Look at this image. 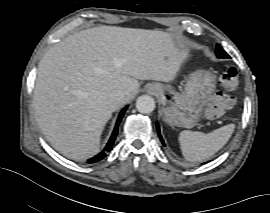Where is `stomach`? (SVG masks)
I'll use <instances>...</instances> for the list:
<instances>
[{
    "mask_svg": "<svg viewBox=\"0 0 270 213\" xmlns=\"http://www.w3.org/2000/svg\"><path fill=\"white\" fill-rule=\"evenodd\" d=\"M150 86L157 89L164 121L171 126L192 128L201 118L204 107L216 87V80L211 72L197 70L186 81L182 93L161 83L147 85Z\"/></svg>",
    "mask_w": 270,
    "mask_h": 213,
    "instance_id": "stomach-1",
    "label": "stomach"
}]
</instances>
